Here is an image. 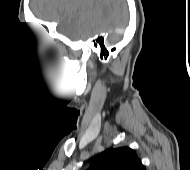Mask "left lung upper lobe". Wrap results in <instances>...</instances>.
Instances as JSON below:
<instances>
[{
    "label": "left lung upper lobe",
    "instance_id": "5c2ea615",
    "mask_svg": "<svg viewBox=\"0 0 190 170\" xmlns=\"http://www.w3.org/2000/svg\"><path fill=\"white\" fill-rule=\"evenodd\" d=\"M91 170H145L136 152L129 147L110 148L97 155Z\"/></svg>",
    "mask_w": 190,
    "mask_h": 170
}]
</instances>
